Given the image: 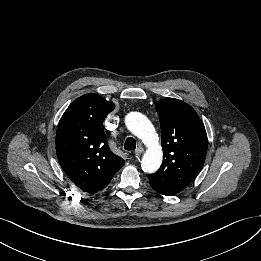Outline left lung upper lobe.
Here are the masks:
<instances>
[{
	"label": "left lung upper lobe",
	"instance_id": "1",
	"mask_svg": "<svg viewBox=\"0 0 261 261\" xmlns=\"http://www.w3.org/2000/svg\"><path fill=\"white\" fill-rule=\"evenodd\" d=\"M162 132L163 163L148 174L152 188L163 195L184 190L201 171L207 152V134L198 114L188 104L164 98L155 104Z\"/></svg>",
	"mask_w": 261,
	"mask_h": 261
}]
</instances>
